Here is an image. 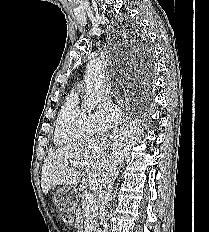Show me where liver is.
Listing matches in <instances>:
<instances>
[{"label": "liver", "mask_w": 209, "mask_h": 232, "mask_svg": "<svg viewBox=\"0 0 209 232\" xmlns=\"http://www.w3.org/2000/svg\"><path fill=\"white\" fill-rule=\"evenodd\" d=\"M121 142V135L114 133L112 138L107 135L93 137L51 151L42 167L41 187L44 194L55 185H74L81 180L82 168L73 164L74 161L86 162L87 175H95L100 182L107 166L112 161H121Z\"/></svg>", "instance_id": "6515ba94"}]
</instances>
